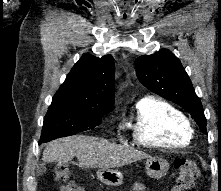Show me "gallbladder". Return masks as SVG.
<instances>
[{
	"mask_svg": "<svg viewBox=\"0 0 221 191\" xmlns=\"http://www.w3.org/2000/svg\"><path fill=\"white\" fill-rule=\"evenodd\" d=\"M46 171V166L44 163H41L39 165H37L36 169H35V173L36 175H42L44 172Z\"/></svg>",
	"mask_w": 221,
	"mask_h": 191,
	"instance_id": "gallbladder-1",
	"label": "gallbladder"
}]
</instances>
